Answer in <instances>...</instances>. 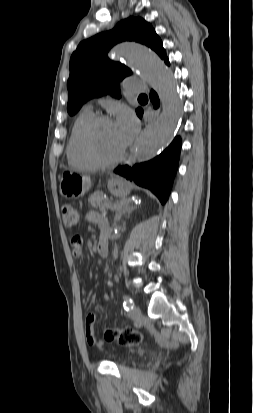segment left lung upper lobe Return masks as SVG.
<instances>
[{"instance_id":"1","label":"left lung upper lobe","mask_w":253,"mask_h":413,"mask_svg":"<svg viewBox=\"0 0 253 413\" xmlns=\"http://www.w3.org/2000/svg\"><path fill=\"white\" fill-rule=\"evenodd\" d=\"M126 40L144 44L166 59L161 39L152 25L140 17L124 19L112 30L82 41L70 59L67 82L70 115L93 97L110 94L120 98V81L132 72L125 65L109 60L107 53L115 44Z\"/></svg>"}]
</instances>
